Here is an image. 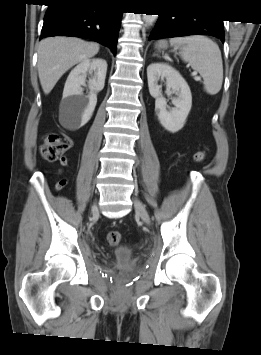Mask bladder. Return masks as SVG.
<instances>
[{
    "instance_id": "obj_1",
    "label": "bladder",
    "mask_w": 261,
    "mask_h": 355,
    "mask_svg": "<svg viewBox=\"0 0 261 355\" xmlns=\"http://www.w3.org/2000/svg\"><path fill=\"white\" fill-rule=\"evenodd\" d=\"M114 261L118 270H130L135 261L132 249L127 246L120 247L114 253Z\"/></svg>"
}]
</instances>
